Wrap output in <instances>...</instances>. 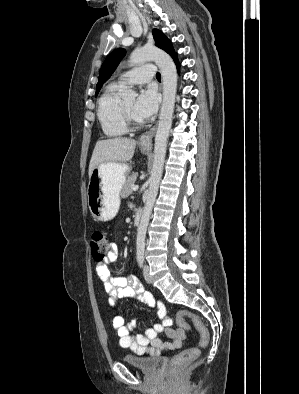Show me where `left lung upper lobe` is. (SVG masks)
I'll return each mask as SVG.
<instances>
[{
  "label": "left lung upper lobe",
  "mask_w": 299,
  "mask_h": 394,
  "mask_svg": "<svg viewBox=\"0 0 299 394\" xmlns=\"http://www.w3.org/2000/svg\"><path fill=\"white\" fill-rule=\"evenodd\" d=\"M153 37L156 41V46L166 51L170 56L175 52L171 41L158 29L153 30ZM126 51L122 48L111 52L101 66L99 73V80L96 85V95L101 89L102 85L109 79L111 74L115 71L119 62L124 57Z\"/></svg>",
  "instance_id": "obj_1"
}]
</instances>
